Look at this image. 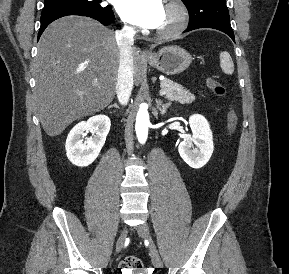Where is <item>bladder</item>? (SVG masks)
<instances>
[{"label": "bladder", "mask_w": 289, "mask_h": 274, "mask_svg": "<svg viewBox=\"0 0 289 274\" xmlns=\"http://www.w3.org/2000/svg\"><path fill=\"white\" fill-rule=\"evenodd\" d=\"M140 272L141 271H129V272H126V273H123V274H142Z\"/></svg>", "instance_id": "obj_1"}]
</instances>
